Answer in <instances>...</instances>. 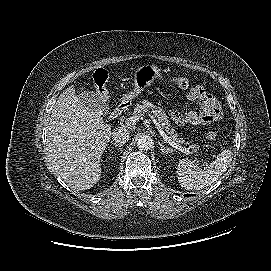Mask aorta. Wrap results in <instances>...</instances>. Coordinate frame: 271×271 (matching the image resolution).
Segmentation results:
<instances>
[{
    "label": "aorta",
    "instance_id": "obj_1",
    "mask_svg": "<svg viewBox=\"0 0 271 271\" xmlns=\"http://www.w3.org/2000/svg\"><path fill=\"white\" fill-rule=\"evenodd\" d=\"M152 139L149 136H141L138 140H137V147L139 150L141 151H148L151 149L152 147Z\"/></svg>",
    "mask_w": 271,
    "mask_h": 271
}]
</instances>
